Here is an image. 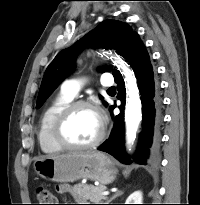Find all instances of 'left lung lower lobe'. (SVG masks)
Masks as SVG:
<instances>
[{
	"instance_id": "0a47b994",
	"label": "left lung lower lobe",
	"mask_w": 200,
	"mask_h": 205,
	"mask_svg": "<svg viewBox=\"0 0 200 205\" xmlns=\"http://www.w3.org/2000/svg\"><path fill=\"white\" fill-rule=\"evenodd\" d=\"M123 57L135 72L142 101L143 130L140 133L134 161L139 164L155 166L159 161L162 102L149 55L137 33L132 37ZM113 76L118 84L117 98L122 102L119 106L121 112L115 117L110 137L98 149L111 154L120 162L128 164L132 161L126 155L124 147L125 87L119 71L115 70ZM115 107V105L110 107L111 113Z\"/></svg>"
}]
</instances>
